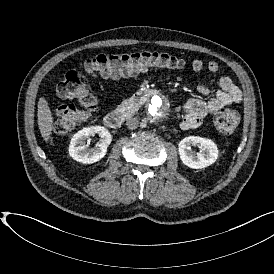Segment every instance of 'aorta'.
Here are the masks:
<instances>
[{
  "label": "aorta",
  "instance_id": "aorta-1",
  "mask_svg": "<svg viewBox=\"0 0 274 274\" xmlns=\"http://www.w3.org/2000/svg\"><path fill=\"white\" fill-rule=\"evenodd\" d=\"M171 114L169 101L160 96H153L146 110V120L155 125L166 122Z\"/></svg>",
  "mask_w": 274,
  "mask_h": 274
}]
</instances>
